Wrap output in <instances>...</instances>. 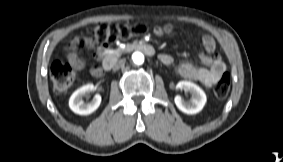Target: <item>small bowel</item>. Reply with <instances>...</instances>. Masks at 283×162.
<instances>
[{"label": "small bowel", "mask_w": 283, "mask_h": 162, "mask_svg": "<svg viewBox=\"0 0 283 162\" xmlns=\"http://www.w3.org/2000/svg\"><path fill=\"white\" fill-rule=\"evenodd\" d=\"M173 30L174 27L172 24H166L165 26L155 27L154 34L156 36H162L173 32ZM201 39L206 53H201L199 58L205 67H197L190 62H184L177 67V73L186 79L196 80L210 87L221 79L223 74H225L226 68L224 62L218 56L214 55L216 49L214 38L208 34H204ZM80 46L95 49V56L101 62L106 61L109 56L106 45L98 46L97 40L92 37L84 35L75 36L68 46L67 60L76 70L84 67V61L78 53ZM160 60L166 65H170L173 62V58L168 54H161ZM90 72L98 78H102L107 74V71L101 65L93 67Z\"/></svg>", "instance_id": "obj_1"}]
</instances>
